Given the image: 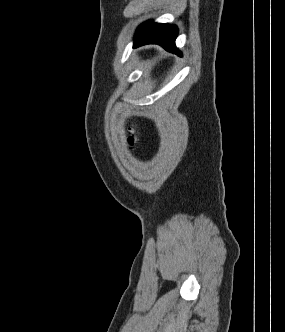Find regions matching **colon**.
Masks as SVG:
<instances>
[{"mask_svg": "<svg viewBox=\"0 0 285 332\" xmlns=\"http://www.w3.org/2000/svg\"><path fill=\"white\" fill-rule=\"evenodd\" d=\"M138 142V138H137V135L135 133L134 130H132V134L131 136L128 138V144L131 146V147H134L135 144Z\"/></svg>", "mask_w": 285, "mask_h": 332, "instance_id": "obj_1", "label": "colon"}]
</instances>
